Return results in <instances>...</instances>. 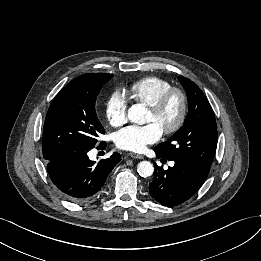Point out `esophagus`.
<instances>
[{"instance_id": "obj_1", "label": "esophagus", "mask_w": 261, "mask_h": 261, "mask_svg": "<svg viewBox=\"0 0 261 261\" xmlns=\"http://www.w3.org/2000/svg\"><path fill=\"white\" fill-rule=\"evenodd\" d=\"M129 155L132 157V158H135V159H143L144 156L141 155V154H136V153H129Z\"/></svg>"}]
</instances>
